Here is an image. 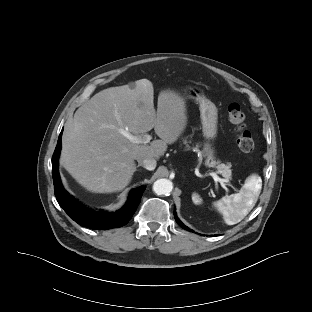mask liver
Listing matches in <instances>:
<instances>
[{"label": "liver", "mask_w": 312, "mask_h": 312, "mask_svg": "<svg viewBox=\"0 0 312 312\" xmlns=\"http://www.w3.org/2000/svg\"><path fill=\"white\" fill-rule=\"evenodd\" d=\"M186 104L171 90L159 93L154 108L151 81L140 79L95 94L77 109L62 137L61 163L88 191L111 193L124 189L136 171L137 157L159 159L187 125ZM154 128L160 140L133 143L120 131L134 136Z\"/></svg>", "instance_id": "obj_1"}]
</instances>
